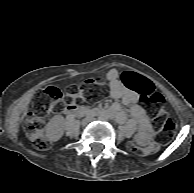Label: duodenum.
I'll return each mask as SVG.
<instances>
[{"mask_svg": "<svg viewBox=\"0 0 194 193\" xmlns=\"http://www.w3.org/2000/svg\"><path fill=\"white\" fill-rule=\"evenodd\" d=\"M63 112L68 115H85L94 114L100 117H104L105 113L99 110H91L83 106L78 105H68L64 108Z\"/></svg>", "mask_w": 194, "mask_h": 193, "instance_id": "410a0bca", "label": "duodenum"}]
</instances>
